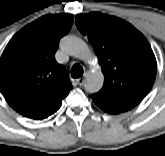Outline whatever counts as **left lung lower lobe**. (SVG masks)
Listing matches in <instances>:
<instances>
[{"label":"left lung lower lobe","mask_w":165,"mask_h":156,"mask_svg":"<svg viewBox=\"0 0 165 156\" xmlns=\"http://www.w3.org/2000/svg\"><path fill=\"white\" fill-rule=\"evenodd\" d=\"M92 97V100L93 102L99 107L101 108L103 111L109 113V114H120L122 112H125V111H122L121 109L107 103L106 101L102 100L101 98L95 96L94 94L91 96Z\"/></svg>","instance_id":"left-lung-lower-lobe-1"}]
</instances>
